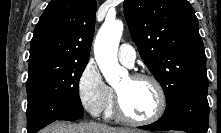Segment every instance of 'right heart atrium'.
<instances>
[{
	"label": "right heart atrium",
	"instance_id": "right-heart-atrium-1",
	"mask_svg": "<svg viewBox=\"0 0 221 133\" xmlns=\"http://www.w3.org/2000/svg\"><path fill=\"white\" fill-rule=\"evenodd\" d=\"M77 94L82 107L92 115H101L107 111L113 101V90L104 82L94 62H88L82 69Z\"/></svg>",
	"mask_w": 221,
	"mask_h": 133
}]
</instances>
